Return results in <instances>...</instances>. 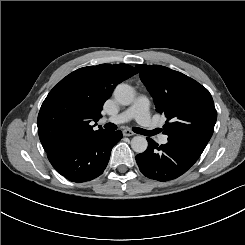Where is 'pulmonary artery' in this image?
<instances>
[{
	"label": "pulmonary artery",
	"instance_id": "e3ab8cb5",
	"mask_svg": "<svg viewBox=\"0 0 245 245\" xmlns=\"http://www.w3.org/2000/svg\"><path fill=\"white\" fill-rule=\"evenodd\" d=\"M134 106L128 108L119 115L108 118L111 122L123 123L130 120L132 117L136 119L138 126L144 132H153L156 129V122L149 117L150 100L145 95H139L135 99ZM162 145H167L171 137L168 133L163 132L158 137Z\"/></svg>",
	"mask_w": 245,
	"mask_h": 245
}]
</instances>
